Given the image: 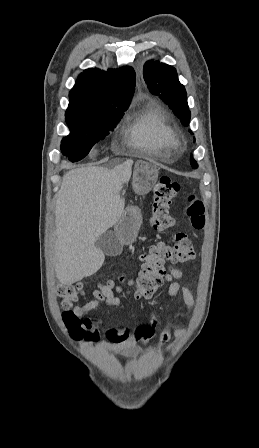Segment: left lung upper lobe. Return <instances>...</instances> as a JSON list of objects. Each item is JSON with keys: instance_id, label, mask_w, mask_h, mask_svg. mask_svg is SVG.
<instances>
[{"instance_id": "obj_1", "label": "left lung upper lobe", "mask_w": 259, "mask_h": 448, "mask_svg": "<svg viewBox=\"0 0 259 448\" xmlns=\"http://www.w3.org/2000/svg\"><path fill=\"white\" fill-rule=\"evenodd\" d=\"M143 76L150 92L159 96L170 109L187 126L191 112L187 103V93L179 82L176 69L173 66L158 61H148L144 65ZM191 165L197 168V162L191 157Z\"/></svg>"}]
</instances>
